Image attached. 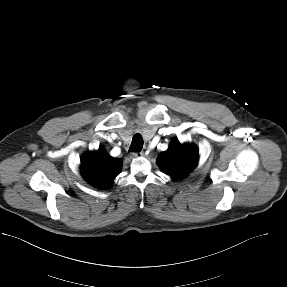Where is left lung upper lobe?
Segmentation results:
<instances>
[{
	"instance_id": "1",
	"label": "left lung upper lobe",
	"mask_w": 287,
	"mask_h": 287,
	"mask_svg": "<svg viewBox=\"0 0 287 287\" xmlns=\"http://www.w3.org/2000/svg\"><path fill=\"white\" fill-rule=\"evenodd\" d=\"M199 151L195 145L181 144L174 138L168 150L162 152L157 158V164L165 174L172 179L186 177L197 165Z\"/></svg>"
}]
</instances>
